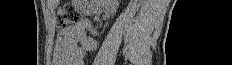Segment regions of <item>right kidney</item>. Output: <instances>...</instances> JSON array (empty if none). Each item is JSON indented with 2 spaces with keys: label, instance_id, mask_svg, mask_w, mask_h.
<instances>
[{
  "label": "right kidney",
  "instance_id": "ca27d5eb",
  "mask_svg": "<svg viewBox=\"0 0 232 65\" xmlns=\"http://www.w3.org/2000/svg\"><path fill=\"white\" fill-rule=\"evenodd\" d=\"M107 6L108 11L113 16L116 13V9L118 7V0H107L104 3ZM93 13L97 11V8H92ZM93 35H97L96 31H92Z\"/></svg>",
  "mask_w": 232,
  "mask_h": 65
}]
</instances>
